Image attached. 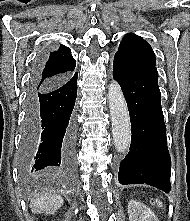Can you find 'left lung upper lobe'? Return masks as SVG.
Segmentation results:
<instances>
[{"label": "left lung upper lobe", "instance_id": "1", "mask_svg": "<svg viewBox=\"0 0 190 221\" xmlns=\"http://www.w3.org/2000/svg\"><path fill=\"white\" fill-rule=\"evenodd\" d=\"M115 56L123 57L133 63L156 65L151 46L143 38L132 33L124 36Z\"/></svg>", "mask_w": 190, "mask_h": 221}]
</instances>
